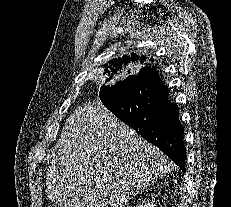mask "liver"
Wrapping results in <instances>:
<instances>
[{
	"label": "liver",
	"mask_w": 231,
	"mask_h": 207,
	"mask_svg": "<svg viewBox=\"0 0 231 207\" xmlns=\"http://www.w3.org/2000/svg\"><path fill=\"white\" fill-rule=\"evenodd\" d=\"M53 152L46 194L59 207H125L171 169L161 151L99 101L75 110Z\"/></svg>",
	"instance_id": "6515ba94"
}]
</instances>
